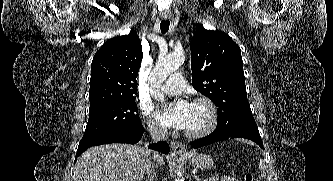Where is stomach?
<instances>
[{"label":"stomach","instance_id":"stomach-1","mask_svg":"<svg viewBox=\"0 0 333 181\" xmlns=\"http://www.w3.org/2000/svg\"><path fill=\"white\" fill-rule=\"evenodd\" d=\"M184 157L188 158L190 164L197 169L209 170L214 165L213 159L207 154H195Z\"/></svg>","mask_w":333,"mask_h":181}]
</instances>
